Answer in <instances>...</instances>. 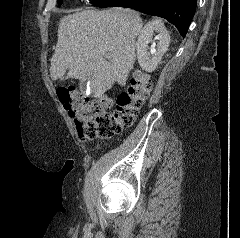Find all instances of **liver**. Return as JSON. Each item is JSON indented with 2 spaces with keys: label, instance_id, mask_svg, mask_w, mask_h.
I'll list each match as a JSON object with an SVG mask.
<instances>
[{
  "label": "liver",
  "instance_id": "6515ba94",
  "mask_svg": "<svg viewBox=\"0 0 240 238\" xmlns=\"http://www.w3.org/2000/svg\"><path fill=\"white\" fill-rule=\"evenodd\" d=\"M142 26L139 13L131 9L83 10L64 16L51 58V79L61 78L68 69L67 78L90 80L95 98L115 82L125 86Z\"/></svg>",
  "mask_w": 240,
  "mask_h": 238
}]
</instances>
